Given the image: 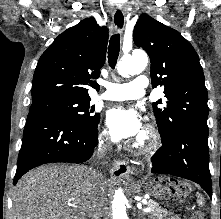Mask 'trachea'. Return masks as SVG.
Returning a JSON list of instances; mask_svg holds the SVG:
<instances>
[{"label":"trachea","instance_id":"trachea-1","mask_svg":"<svg viewBox=\"0 0 221 219\" xmlns=\"http://www.w3.org/2000/svg\"><path fill=\"white\" fill-rule=\"evenodd\" d=\"M120 52V35L114 34L110 41L108 46V62L109 66L114 69L118 60Z\"/></svg>","mask_w":221,"mask_h":219}]
</instances>
